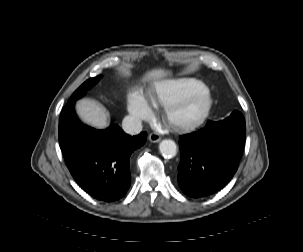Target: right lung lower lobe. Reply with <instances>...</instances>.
<instances>
[{"label":"right lung lower lobe","instance_id":"98d812e1","mask_svg":"<svg viewBox=\"0 0 303 252\" xmlns=\"http://www.w3.org/2000/svg\"><path fill=\"white\" fill-rule=\"evenodd\" d=\"M75 102L68 101L59 121V144L66 165L92 197L118 200L131 184L130 155L146 142L147 133L131 137L113 123L105 130L85 126L76 116Z\"/></svg>","mask_w":303,"mask_h":252}]
</instances>
